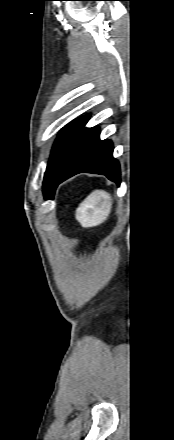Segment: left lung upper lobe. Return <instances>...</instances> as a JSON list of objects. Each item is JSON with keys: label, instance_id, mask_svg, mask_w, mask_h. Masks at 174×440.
I'll use <instances>...</instances> for the list:
<instances>
[{"label": "left lung upper lobe", "instance_id": "obj_1", "mask_svg": "<svg viewBox=\"0 0 174 440\" xmlns=\"http://www.w3.org/2000/svg\"><path fill=\"white\" fill-rule=\"evenodd\" d=\"M88 118L86 116L69 123L59 133L43 181V192L46 199H49L52 194L54 182L64 168Z\"/></svg>", "mask_w": 174, "mask_h": 440}]
</instances>
